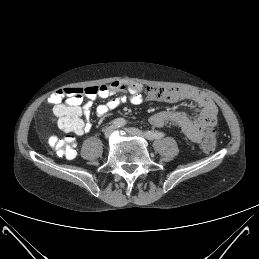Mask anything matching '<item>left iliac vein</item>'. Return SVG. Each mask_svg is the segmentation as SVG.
Returning a JSON list of instances; mask_svg holds the SVG:
<instances>
[{
    "mask_svg": "<svg viewBox=\"0 0 259 259\" xmlns=\"http://www.w3.org/2000/svg\"><path fill=\"white\" fill-rule=\"evenodd\" d=\"M125 130L128 134H130L132 136H137V137H140V138L146 137L145 134L137 128L129 127V128H126Z\"/></svg>",
    "mask_w": 259,
    "mask_h": 259,
    "instance_id": "1",
    "label": "left iliac vein"
}]
</instances>
